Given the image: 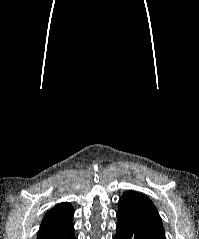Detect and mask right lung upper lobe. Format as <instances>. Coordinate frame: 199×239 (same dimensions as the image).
Wrapping results in <instances>:
<instances>
[{"instance_id": "1", "label": "right lung upper lobe", "mask_w": 199, "mask_h": 239, "mask_svg": "<svg viewBox=\"0 0 199 239\" xmlns=\"http://www.w3.org/2000/svg\"><path fill=\"white\" fill-rule=\"evenodd\" d=\"M74 214L73 207L70 203L64 202L57 204L48 211L42 221V225L57 223L72 218Z\"/></svg>"}]
</instances>
